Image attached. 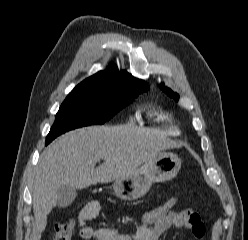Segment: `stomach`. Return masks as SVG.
I'll return each instance as SVG.
<instances>
[{"label":"stomach","mask_w":248,"mask_h":240,"mask_svg":"<svg viewBox=\"0 0 248 240\" xmlns=\"http://www.w3.org/2000/svg\"><path fill=\"white\" fill-rule=\"evenodd\" d=\"M181 168V159L173 153H158L153 159L128 174L115 180L114 194L122 200H136L143 197L153 183L165 182L174 178Z\"/></svg>","instance_id":"1"}]
</instances>
